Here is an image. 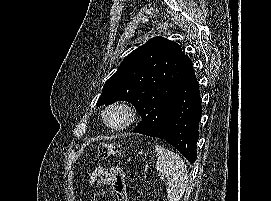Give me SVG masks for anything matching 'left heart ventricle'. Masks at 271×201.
<instances>
[{
  "label": "left heart ventricle",
  "mask_w": 271,
  "mask_h": 201,
  "mask_svg": "<svg viewBox=\"0 0 271 201\" xmlns=\"http://www.w3.org/2000/svg\"><path fill=\"white\" fill-rule=\"evenodd\" d=\"M107 119L111 125L117 126V125H120L124 122L125 116L122 111L113 110L108 114Z\"/></svg>",
  "instance_id": "b2bd125f"
}]
</instances>
